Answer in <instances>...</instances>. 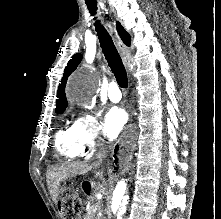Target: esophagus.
I'll list each match as a JSON object with an SVG mask.
<instances>
[{
	"label": "esophagus",
	"mask_w": 221,
	"mask_h": 219,
	"mask_svg": "<svg viewBox=\"0 0 221 219\" xmlns=\"http://www.w3.org/2000/svg\"><path fill=\"white\" fill-rule=\"evenodd\" d=\"M115 42H116V45L123 57V60L125 63H127V56H126V48H125V45L123 44V42L120 40V38L118 36L115 37Z\"/></svg>",
	"instance_id": "esophagus-1"
}]
</instances>
